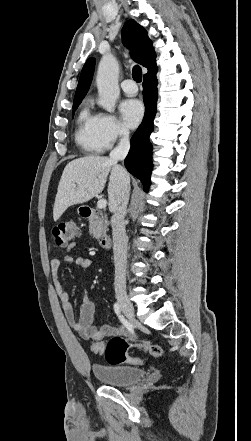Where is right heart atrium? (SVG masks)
Masks as SVG:
<instances>
[{"mask_svg":"<svg viewBox=\"0 0 251 441\" xmlns=\"http://www.w3.org/2000/svg\"><path fill=\"white\" fill-rule=\"evenodd\" d=\"M97 131L105 148L112 146L118 139L127 136V130L112 114L97 115Z\"/></svg>","mask_w":251,"mask_h":441,"instance_id":"obj_1","label":"right heart atrium"}]
</instances>
